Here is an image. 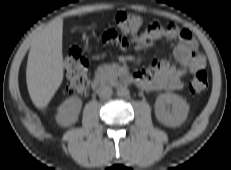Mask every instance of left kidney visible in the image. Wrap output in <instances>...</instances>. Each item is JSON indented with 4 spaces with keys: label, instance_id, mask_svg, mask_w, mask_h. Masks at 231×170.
<instances>
[{
    "label": "left kidney",
    "instance_id": "left-kidney-1",
    "mask_svg": "<svg viewBox=\"0 0 231 170\" xmlns=\"http://www.w3.org/2000/svg\"><path fill=\"white\" fill-rule=\"evenodd\" d=\"M169 105L172 106L171 111L167 108ZM188 112L189 105L186 100L176 94H161L156 99V118L166 126L181 125L186 120Z\"/></svg>",
    "mask_w": 231,
    "mask_h": 170
}]
</instances>
